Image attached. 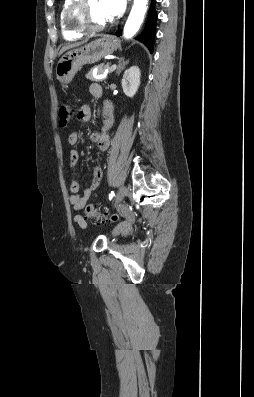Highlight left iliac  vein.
<instances>
[{"instance_id":"4c4485c4","label":"left iliac vein","mask_w":254,"mask_h":397,"mask_svg":"<svg viewBox=\"0 0 254 397\" xmlns=\"http://www.w3.org/2000/svg\"><path fill=\"white\" fill-rule=\"evenodd\" d=\"M127 194V188L126 186H121L117 195H116V200H115V207L118 206V204L124 199V197Z\"/></svg>"}]
</instances>
